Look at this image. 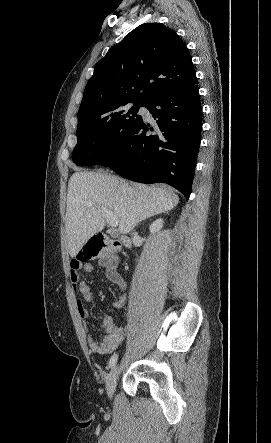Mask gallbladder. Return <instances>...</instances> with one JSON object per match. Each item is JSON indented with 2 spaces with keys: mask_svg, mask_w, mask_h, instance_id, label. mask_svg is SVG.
Segmentation results:
<instances>
[{
  "mask_svg": "<svg viewBox=\"0 0 271 443\" xmlns=\"http://www.w3.org/2000/svg\"><path fill=\"white\" fill-rule=\"evenodd\" d=\"M112 237H117V233H111Z\"/></svg>",
  "mask_w": 271,
  "mask_h": 443,
  "instance_id": "obj_1",
  "label": "gallbladder"
}]
</instances>
